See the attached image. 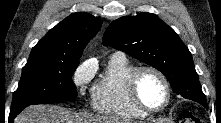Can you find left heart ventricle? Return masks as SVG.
Masks as SVG:
<instances>
[{"mask_svg": "<svg viewBox=\"0 0 221 123\" xmlns=\"http://www.w3.org/2000/svg\"><path fill=\"white\" fill-rule=\"evenodd\" d=\"M138 92L141 100L151 108L160 107L166 99L164 84L152 72H145L138 82Z\"/></svg>", "mask_w": 221, "mask_h": 123, "instance_id": "left-heart-ventricle-1", "label": "left heart ventricle"}]
</instances>
